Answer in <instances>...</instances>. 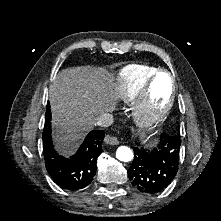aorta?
I'll use <instances>...</instances> for the list:
<instances>
[{
	"label": "aorta",
	"mask_w": 221,
	"mask_h": 221,
	"mask_svg": "<svg viewBox=\"0 0 221 221\" xmlns=\"http://www.w3.org/2000/svg\"><path fill=\"white\" fill-rule=\"evenodd\" d=\"M116 157L122 162H130L134 155L129 147L120 146L116 151Z\"/></svg>",
	"instance_id": "762f6f07"
}]
</instances>
